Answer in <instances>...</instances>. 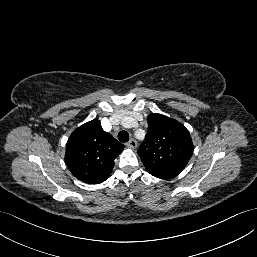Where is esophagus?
Returning a JSON list of instances; mask_svg holds the SVG:
<instances>
[{"mask_svg": "<svg viewBox=\"0 0 257 257\" xmlns=\"http://www.w3.org/2000/svg\"><path fill=\"white\" fill-rule=\"evenodd\" d=\"M126 146L128 148H132V149H135L137 147V142L134 140V139H131L130 141H128L126 143Z\"/></svg>", "mask_w": 257, "mask_h": 257, "instance_id": "1", "label": "esophagus"}]
</instances>
